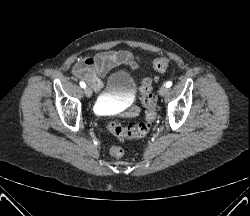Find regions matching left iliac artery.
Listing matches in <instances>:
<instances>
[{
  "label": "left iliac artery",
  "mask_w": 250,
  "mask_h": 216,
  "mask_svg": "<svg viewBox=\"0 0 250 216\" xmlns=\"http://www.w3.org/2000/svg\"><path fill=\"white\" fill-rule=\"evenodd\" d=\"M165 85H166L167 88L171 87L172 86V81H168Z\"/></svg>",
  "instance_id": "1"
}]
</instances>
